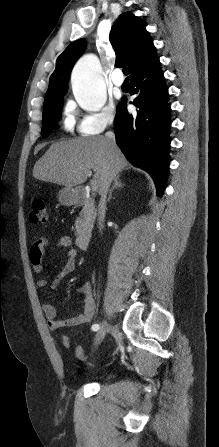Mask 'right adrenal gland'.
<instances>
[{"mask_svg":"<svg viewBox=\"0 0 219 447\" xmlns=\"http://www.w3.org/2000/svg\"><path fill=\"white\" fill-rule=\"evenodd\" d=\"M123 183L121 182V180H120V175H117L115 178H114V184H113V186H112V188L110 189V191H109V195H108V199H107V201H110V199L112 198V192H113V190L114 189H116V188H118V187H123Z\"/></svg>","mask_w":219,"mask_h":447,"instance_id":"1","label":"right adrenal gland"}]
</instances>
